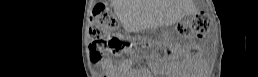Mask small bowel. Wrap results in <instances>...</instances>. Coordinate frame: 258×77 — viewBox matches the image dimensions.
<instances>
[{"instance_id":"small-bowel-1","label":"small bowel","mask_w":258,"mask_h":77,"mask_svg":"<svg viewBox=\"0 0 258 77\" xmlns=\"http://www.w3.org/2000/svg\"><path fill=\"white\" fill-rule=\"evenodd\" d=\"M107 65H111V61H107ZM130 67H131V64H130V62H126L125 64H123L122 66H121V68L122 69H130ZM110 70H108V72L109 73H112V72H114V71H111V69H113V68H109Z\"/></svg>"}]
</instances>
